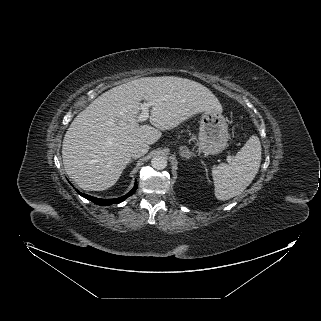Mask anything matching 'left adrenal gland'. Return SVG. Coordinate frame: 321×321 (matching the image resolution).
<instances>
[{"mask_svg":"<svg viewBox=\"0 0 321 321\" xmlns=\"http://www.w3.org/2000/svg\"><path fill=\"white\" fill-rule=\"evenodd\" d=\"M180 155L182 157H185L186 159H189L190 157L194 156L195 154L190 152L187 147H180Z\"/></svg>","mask_w":321,"mask_h":321,"instance_id":"1","label":"left adrenal gland"}]
</instances>
